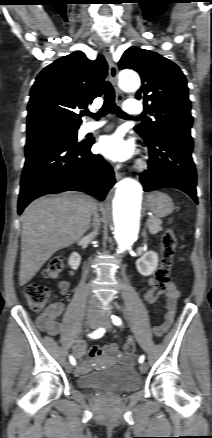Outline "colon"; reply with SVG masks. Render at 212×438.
Returning <instances> with one entry per match:
<instances>
[{"mask_svg":"<svg viewBox=\"0 0 212 438\" xmlns=\"http://www.w3.org/2000/svg\"><path fill=\"white\" fill-rule=\"evenodd\" d=\"M177 246L175 232L167 230L162 238V262L155 274V284L146 292L145 301L148 304L154 303L162 294L167 291L170 281V272L173 258ZM64 269V260L61 256H56L47 264L44 275L48 278H57ZM24 297L34 312L44 309L50 299V288L43 284L30 283L24 289ZM135 350L134 342L128 339L124 344L126 354H132Z\"/></svg>","mask_w":212,"mask_h":438,"instance_id":"colon-1","label":"colon"}]
</instances>
